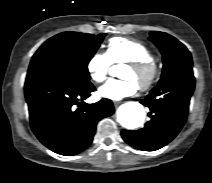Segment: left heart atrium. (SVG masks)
<instances>
[{"mask_svg":"<svg viewBox=\"0 0 212 183\" xmlns=\"http://www.w3.org/2000/svg\"><path fill=\"white\" fill-rule=\"evenodd\" d=\"M138 90V85L131 80H111L101 86L98 94L110 100H121L132 96Z\"/></svg>","mask_w":212,"mask_h":183,"instance_id":"1","label":"left heart atrium"}]
</instances>
